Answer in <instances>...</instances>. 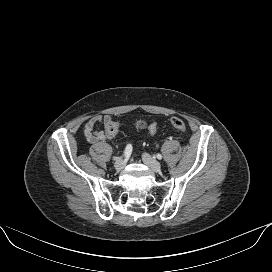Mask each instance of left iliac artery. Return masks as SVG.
<instances>
[{"mask_svg": "<svg viewBox=\"0 0 272 272\" xmlns=\"http://www.w3.org/2000/svg\"><path fill=\"white\" fill-rule=\"evenodd\" d=\"M156 157L161 160L162 159V155L161 154H157Z\"/></svg>", "mask_w": 272, "mask_h": 272, "instance_id": "obj_1", "label": "left iliac artery"}]
</instances>
